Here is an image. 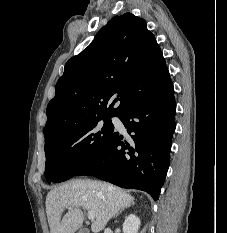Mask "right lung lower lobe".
<instances>
[{
  "label": "right lung lower lobe",
  "mask_w": 227,
  "mask_h": 233,
  "mask_svg": "<svg viewBox=\"0 0 227 233\" xmlns=\"http://www.w3.org/2000/svg\"><path fill=\"white\" fill-rule=\"evenodd\" d=\"M175 112L170 79L119 115L129 137L113 132L100 153L76 175L143 190L157 200L170 163Z\"/></svg>",
  "instance_id": "1"
}]
</instances>
